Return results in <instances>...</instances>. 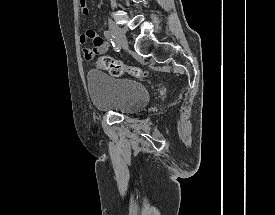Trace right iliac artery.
Listing matches in <instances>:
<instances>
[{"instance_id":"1","label":"right iliac artery","mask_w":275,"mask_h":215,"mask_svg":"<svg viewBox=\"0 0 275 215\" xmlns=\"http://www.w3.org/2000/svg\"><path fill=\"white\" fill-rule=\"evenodd\" d=\"M104 36L112 43L113 47H115V50L119 51V45L116 42L114 35L110 31H104Z\"/></svg>"}]
</instances>
